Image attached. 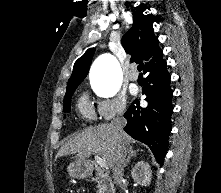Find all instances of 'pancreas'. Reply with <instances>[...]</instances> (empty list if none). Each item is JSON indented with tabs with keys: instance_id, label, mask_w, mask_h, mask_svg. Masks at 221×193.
Segmentation results:
<instances>
[{
	"instance_id": "pancreas-1",
	"label": "pancreas",
	"mask_w": 221,
	"mask_h": 193,
	"mask_svg": "<svg viewBox=\"0 0 221 193\" xmlns=\"http://www.w3.org/2000/svg\"><path fill=\"white\" fill-rule=\"evenodd\" d=\"M97 193H104V189L101 187V185H98Z\"/></svg>"
}]
</instances>
